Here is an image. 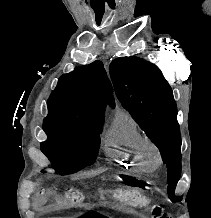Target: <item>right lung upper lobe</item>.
<instances>
[{"label":"right lung upper lobe","mask_w":211,"mask_h":218,"mask_svg":"<svg viewBox=\"0 0 211 218\" xmlns=\"http://www.w3.org/2000/svg\"><path fill=\"white\" fill-rule=\"evenodd\" d=\"M114 106L113 90L101 61L62 75L51 93L49 115L104 121L106 104Z\"/></svg>","instance_id":"obj_1"}]
</instances>
